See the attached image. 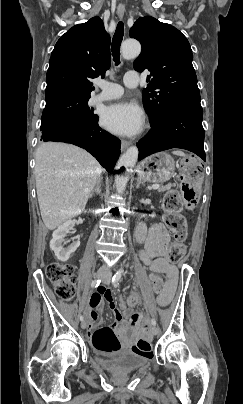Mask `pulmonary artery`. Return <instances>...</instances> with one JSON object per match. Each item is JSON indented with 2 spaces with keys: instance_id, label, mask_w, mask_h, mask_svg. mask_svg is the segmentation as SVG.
Segmentation results:
<instances>
[{
  "instance_id": "1",
  "label": "pulmonary artery",
  "mask_w": 243,
  "mask_h": 404,
  "mask_svg": "<svg viewBox=\"0 0 243 404\" xmlns=\"http://www.w3.org/2000/svg\"><path fill=\"white\" fill-rule=\"evenodd\" d=\"M123 84L129 88H135L140 84V78L136 74L126 73L123 77ZM95 85L100 88V93L96 96L97 101L116 99L123 93L120 84L111 83L103 79H96Z\"/></svg>"
}]
</instances>
